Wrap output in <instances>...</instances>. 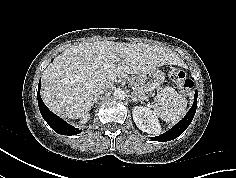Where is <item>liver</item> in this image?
<instances>
[{"instance_id":"liver-1","label":"liver","mask_w":236,"mask_h":178,"mask_svg":"<svg viewBox=\"0 0 236 178\" xmlns=\"http://www.w3.org/2000/svg\"><path fill=\"white\" fill-rule=\"evenodd\" d=\"M111 68L105 64L115 63ZM179 58L167 48L145 43L96 41L73 45L56 56L44 70L41 96L54 113L68 119L86 114L93 90L126 74H142L163 65H176Z\"/></svg>"}]
</instances>
